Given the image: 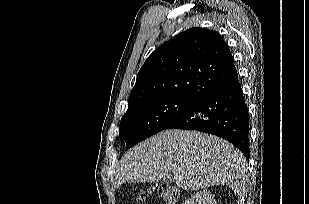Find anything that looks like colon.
Segmentation results:
<instances>
[{
	"label": "colon",
	"mask_w": 309,
	"mask_h": 204,
	"mask_svg": "<svg viewBox=\"0 0 309 204\" xmlns=\"http://www.w3.org/2000/svg\"><path fill=\"white\" fill-rule=\"evenodd\" d=\"M156 192L158 196L163 200L165 204H176L179 198V190L173 186L160 184L156 186ZM150 194L148 190H140L136 196L137 202L145 201ZM131 204V203H127Z\"/></svg>",
	"instance_id": "5ec220e1"
}]
</instances>
